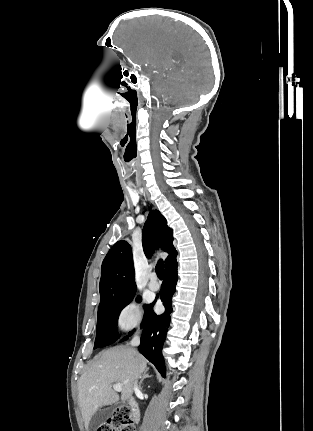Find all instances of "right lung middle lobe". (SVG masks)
I'll return each mask as SVG.
<instances>
[{
    "label": "right lung middle lobe",
    "mask_w": 313,
    "mask_h": 431,
    "mask_svg": "<svg viewBox=\"0 0 313 431\" xmlns=\"http://www.w3.org/2000/svg\"><path fill=\"white\" fill-rule=\"evenodd\" d=\"M135 293L136 291L122 297L100 302L94 349L110 345L118 339L116 324L119 314L133 300ZM136 300L140 302L141 298L137 297Z\"/></svg>",
    "instance_id": "dd1d6c3e"
}]
</instances>
